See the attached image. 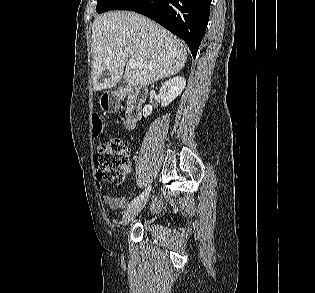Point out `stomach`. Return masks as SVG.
Wrapping results in <instances>:
<instances>
[{"label": "stomach", "mask_w": 315, "mask_h": 293, "mask_svg": "<svg viewBox=\"0 0 315 293\" xmlns=\"http://www.w3.org/2000/svg\"><path fill=\"white\" fill-rule=\"evenodd\" d=\"M121 101L122 98L119 96V92H102L100 106L104 111L119 110Z\"/></svg>", "instance_id": "obj_1"}]
</instances>
